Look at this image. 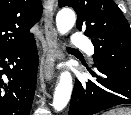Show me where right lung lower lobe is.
I'll list each match as a JSON object with an SVG mask.
<instances>
[{
	"label": "right lung lower lobe",
	"instance_id": "right-lung-lower-lobe-1",
	"mask_svg": "<svg viewBox=\"0 0 131 115\" xmlns=\"http://www.w3.org/2000/svg\"><path fill=\"white\" fill-rule=\"evenodd\" d=\"M10 65H14L10 68ZM38 66L35 40L0 52V115H29ZM6 75L7 79H2Z\"/></svg>",
	"mask_w": 131,
	"mask_h": 115
}]
</instances>
